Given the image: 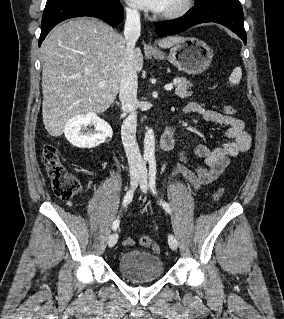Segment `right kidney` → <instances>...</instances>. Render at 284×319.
Wrapping results in <instances>:
<instances>
[{"label": "right kidney", "mask_w": 284, "mask_h": 319, "mask_svg": "<svg viewBox=\"0 0 284 319\" xmlns=\"http://www.w3.org/2000/svg\"><path fill=\"white\" fill-rule=\"evenodd\" d=\"M94 125V131L87 129L88 125ZM66 139L79 148H93L111 138L113 131L111 126L99 118L95 112L78 114L72 117L65 125Z\"/></svg>", "instance_id": "obj_1"}]
</instances>
